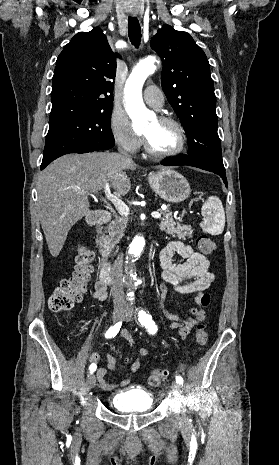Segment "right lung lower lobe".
Listing matches in <instances>:
<instances>
[{
  "instance_id": "1",
  "label": "right lung lower lobe",
  "mask_w": 279,
  "mask_h": 465,
  "mask_svg": "<svg viewBox=\"0 0 279 465\" xmlns=\"http://www.w3.org/2000/svg\"><path fill=\"white\" fill-rule=\"evenodd\" d=\"M111 147H107V146H85V147H82L80 149H78L77 151L73 152V153H88V152H93V151H97V150H105V149H110ZM48 164H41V167L40 169H44Z\"/></svg>"
}]
</instances>
